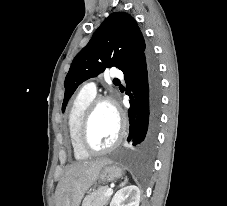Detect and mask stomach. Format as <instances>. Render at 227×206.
Wrapping results in <instances>:
<instances>
[{
    "mask_svg": "<svg viewBox=\"0 0 227 206\" xmlns=\"http://www.w3.org/2000/svg\"><path fill=\"white\" fill-rule=\"evenodd\" d=\"M122 175V170L116 165L112 164L111 161L103 165L101 168L98 181L101 183L112 182L115 179H118Z\"/></svg>",
    "mask_w": 227,
    "mask_h": 206,
    "instance_id": "0dacf381",
    "label": "stomach"
}]
</instances>
